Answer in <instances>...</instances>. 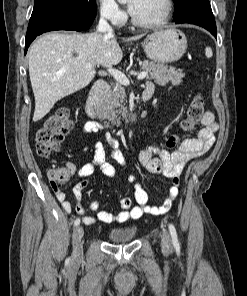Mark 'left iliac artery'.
<instances>
[{
  "label": "left iliac artery",
  "instance_id": "left-iliac-artery-1",
  "mask_svg": "<svg viewBox=\"0 0 247 296\" xmlns=\"http://www.w3.org/2000/svg\"><path fill=\"white\" fill-rule=\"evenodd\" d=\"M169 231L172 237V242L174 244V246L178 247L179 246V242H178V238H177V232L175 227L172 224H169Z\"/></svg>",
  "mask_w": 247,
  "mask_h": 296
}]
</instances>
